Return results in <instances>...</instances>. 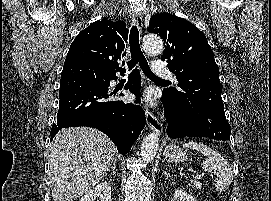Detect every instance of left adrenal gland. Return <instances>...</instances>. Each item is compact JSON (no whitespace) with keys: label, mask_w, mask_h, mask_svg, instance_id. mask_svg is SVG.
<instances>
[{"label":"left adrenal gland","mask_w":271,"mask_h":201,"mask_svg":"<svg viewBox=\"0 0 271 201\" xmlns=\"http://www.w3.org/2000/svg\"><path fill=\"white\" fill-rule=\"evenodd\" d=\"M164 176H166V178H168V174L167 172H163Z\"/></svg>","instance_id":"obj_1"}]
</instances>
